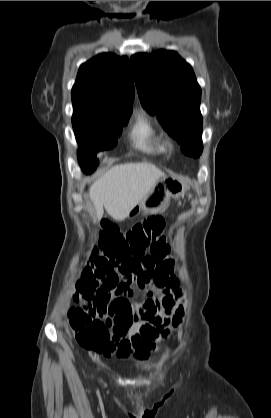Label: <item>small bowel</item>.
Segmentation results:
<instances>
[{
  "label": "small bowel",
  "mask_w": 271,
  "mask_h": 418,
  "mask_svg": "<svg viewBox=\"0 0 271 418\" xmlns=\"http://www.w3.org/2000/svg\"><path fill=\"white\" fill-rule=\"evenodd\" d=\"M167 247L168 240L158 237L149 255L138 260L118 263L98 257L83 271L77 292L97 291V295L93 302L84 300L81 306L97 314L96 322L105 323L111 338L98 353L119 358L133 353L136 359L146 360L166 334L168 314L181 296ZM136 292L142 296L139 303L132 299Z\"/></svg>",
  "instance_id": "c3829d8e"
}]
</instances>
